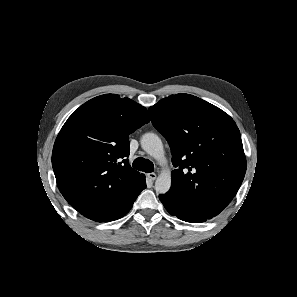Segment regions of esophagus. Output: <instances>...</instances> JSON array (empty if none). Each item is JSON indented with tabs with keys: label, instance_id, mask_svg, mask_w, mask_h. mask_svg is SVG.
<instances>
[{
	"label": "esophagus",
	"instance_id": "34e87169",
	"mask_svg": "<svg viewBox=\"0 0 297 297\" xmlns=\"http://www.w3.org/2000/svg\"><path fill=\"white\" fill-rule=\"evenodd\" d=\"M147 176L152 181H154L157 178V175L155 173H149L147 174Z\"/></svg>",
	"mask_w": 297,
	"mask_h": 297
}]
</instances>
